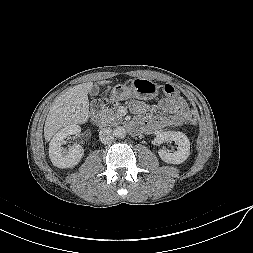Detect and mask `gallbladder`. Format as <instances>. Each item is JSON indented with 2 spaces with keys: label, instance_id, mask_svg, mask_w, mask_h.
<instances>
[{
  "label": "gallbladder",
  "instance_id": "1",
  "mask_svg": "<svg viewBox=\"0 0 253 253\" xmlns=\"http://www.w3.org/2000/svg\"><path fill=\"white\" fill-rule=\"evenodd\" d=\"M89 94H90L91 96L97 95V94H98V89H97V88H92V89L90 90Z\"/></svg>",
  "mask_w": 253,
  "mask_h": 253
}]
</instances>
